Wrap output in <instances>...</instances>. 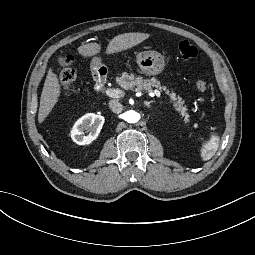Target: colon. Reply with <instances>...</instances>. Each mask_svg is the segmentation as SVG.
I'll list each match as a JSON object with an SVG mask.
<instances>
[{
  "label": "colon",
  "instance_id": "1",
  "mask_svg": "<svg viewBox=\"0 0 255 255\" xmlns=\"http://www.w3.org/2000/svg\"><path fill=\"white\" fill-rule=\"evenodd\" d=\"M178 54L183 60H191L197 56L198 51L195 46L187 41H183L178 45ZM75 77V70L70 65H66L61 68L58 73V78L61 87L65 92L70 89ZM196 86L198 90L205 91L207 89V82L205 80H198L196 82Z\"/></svg>",
  "mask_w": 255,
  "mask_h": 255
}]
</instances>
